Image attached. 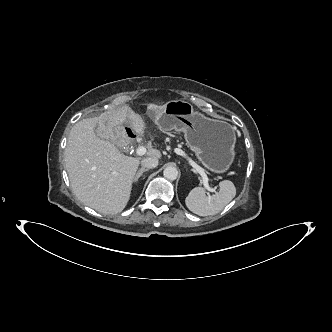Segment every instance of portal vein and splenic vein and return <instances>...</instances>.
<instances>
[{
    "label": "portal vein and splenic vein",
    "mask_w": 332,
    "mask_h": 332,
    "mask_svg": "<svg viewBox=\"0 0 332 332\" xmlns=\"http://www.w3.org/2000/svg\"><path fill=\"white\" fill-rule=\"evenodd\" d=\"M175 153L178 154V155H181L182 157L186 158L188 163L195 169L196 172H198L201 176H202V179H203V184L205 186V188L210 191V192H215V189L214 188H211L208 184V177L207 175L205 174L204 170L199 166L197 165L191 158H189L187 156V154L185 152H183L182 150L180 149H175ZM136 154L138 156H142L144 154H146V148L143 147V146H140L137 148L136 150Z\"/></svg>",
    "instance_id": "1"
}]
</instances>
